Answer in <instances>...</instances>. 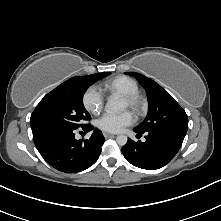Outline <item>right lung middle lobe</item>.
<instances>
[{
    "label": "right lung middle lobe",
    "instance_id": "right-lung-middle-lobe-1",
    "mask_svg": "<svg viewBox=\"0 0 221 221\" xmlns=\"http://www.w3.org/2000/svg\"><path fill=\"white\" fill-rule=\"evenodd\" d=\"M110 72L88 76H77L65 81L48 93L33 111L30 124L36 130L50 126L80 128L90 120V114L83 105V95L97 80L110 75Z\"/></svg>",
    "mask_w": 221,
    "mask_h": 221
}]
</instances>
